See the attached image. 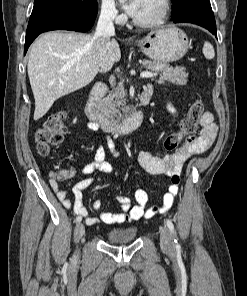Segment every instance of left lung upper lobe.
Listing matches in <instances>:
<instances>
[{"instance_id":"5c2ea615","label":"left lung upper lobe","mask_w":247,"mask_h":296,"mask_svg":"<svg viewBox=\"0 0 247 296\" xmlns=\"http://www.w3.org/2000/svg\"><path fill=\"white\" fill-rule=\"evenodd\" d=\"M194 0H172L173 9L172 14L177 13L186 8Z\"/></svg>"}]
</instances>
